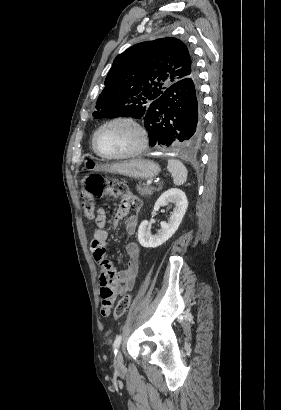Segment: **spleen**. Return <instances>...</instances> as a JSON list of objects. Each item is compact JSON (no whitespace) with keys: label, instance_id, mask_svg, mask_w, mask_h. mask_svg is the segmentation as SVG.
Listing matches in <instances>:
<instances>
[{"label":"spleen","instance_id":"spleen-1","mask_svg":"<svg viewBox=\"0 0 281 410\" xmlns=\"http://www.w3.org/2000/svg\"><path fill=\"white\" fill-rule=\"evenodd\" d=\"M175 185H182L187 180V169L184 164L178 160L170 159L167 165Z\"/></svg>","mask_w":281,"mask_h":410}]
</instances>
